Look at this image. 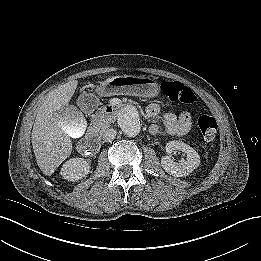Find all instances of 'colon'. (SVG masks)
<instances>
[{"label":"colon","instance_id":"obj_1","mask_svg":"<svg viewBox=\"0 0 261 261\" xmlns=\"http://www.w3.org/2000/svg\"><path fill=\"white\" fill-rule=\"evenodd\" d=\"M163 94L171 101L182 104H194L196 96L193 91L178 81H164L161 85ZM198 126L206 142H212L217 135L218 125L216 120L208 115L198 118Z\"/></svg>","mask_w":261,"mask_h":261}]
</instances>
